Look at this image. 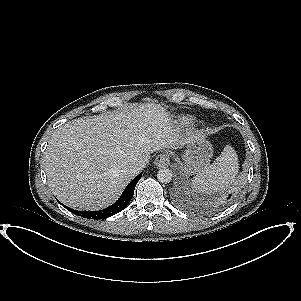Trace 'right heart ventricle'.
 <instances>
[{"instance_id": "e07e8e85", "label": "right heart ventricle", "mask_w": 301, "mask_h": 301, "mask_svg": "<svg viewBox=\"0 0 301 301\" xmlns=\"http://www.w3.org/2000/svg\"><path fill=\"white\" fill-rule=\"evenodd\" d=\"M195 121V119L193 117H189V116H186V117H183L181 119V122L183 125H190L192 124L193 122Z\"/></svg>"}]
</instances>
